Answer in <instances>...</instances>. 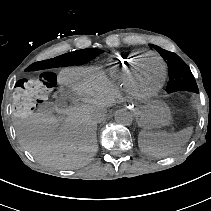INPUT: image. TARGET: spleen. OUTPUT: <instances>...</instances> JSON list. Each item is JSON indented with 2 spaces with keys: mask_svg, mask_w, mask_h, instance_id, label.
I'll use <instances>...</instances> for the list:
<instances>
[{
  "mask_svg": "<svg viewBox=\"0 0 211 211\" xmlns=\"http://www.w3.org/2000/svg\"><path fill=\"white\" fill-rule=\"evenodd\" d=\"M193 128L188 127L176 133L165 131H140L138 145L142 152L153 157H165L187 143Z\"/></svg>",
  "mask_w": 211,
  "mask_h": 211,
  "instance_id": "3e777b00",
  "label": "spleen"
}]
</instances>
